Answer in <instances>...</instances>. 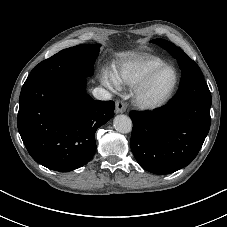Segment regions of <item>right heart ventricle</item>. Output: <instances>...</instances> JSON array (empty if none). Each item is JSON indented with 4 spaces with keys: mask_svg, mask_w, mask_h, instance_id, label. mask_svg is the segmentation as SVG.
<instances>
[{
    "mask_svg": "<svg viewBox=\"0 0 227 227\" xmlns=\"http://www.w3.org/2000/svg\"><path fill=\"white\" fill-rule=\"evenodd\" d=\"M166 62L154 55H145L127 60L114 70L113 77L118 85L135 87L154 69Z\"/></svg>",
    "mask_w": 227,
    "mask_h": 227,
    "instance_id": "obj_1",
    "label": "right heart ventricle"
}]
</instances>
